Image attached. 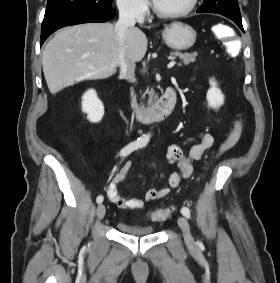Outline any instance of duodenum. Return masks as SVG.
<instances>
[{
	"label": "duodenum",
	"mask_w": 280,
	"mask_h": 283,
	"mask_svg": "<svg viewBox=\"0 0 280 283\" xmlns=\"http://www.w3.org/2000/svg\"><path fill=\"white\" fill-rule=\"evenodd\" d=\"M176 98V90L173 87H169L155 105L145 107L138 103L135 92L131 89L129 93V105L140 122L151 124L167 118L172 113Z\"/></svg>",
	"instance_id": "1"
}]
</instances>
